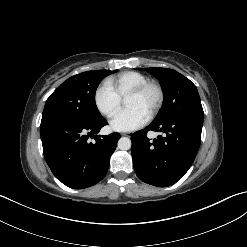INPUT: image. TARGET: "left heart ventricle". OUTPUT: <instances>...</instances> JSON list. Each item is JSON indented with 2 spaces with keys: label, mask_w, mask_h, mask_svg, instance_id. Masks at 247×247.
Here are the masks:
<instances>
[{
  "label": "left heart ventricle",
  "mask_w": 247,
  "mask_h": 247,
  "mask_svg": "<svg viewBox=\"0 0 247 247\" xmlns=\"http://www.w3.org/2000/svg\"><path fill=\"white\" fill-rule=\"evenodd\" d=\"M156 101V92L154 89H148L142 95L136 97H128L125 99L126 107H138L146 114H149L151 108Z\"/></svg>",
  "instance_id": "left-heart-ventricle-1"
}]
</instances>
